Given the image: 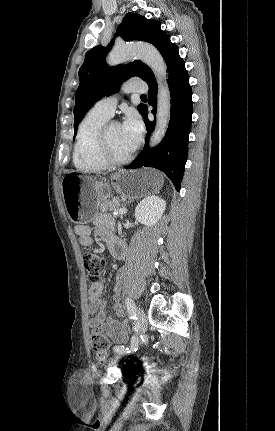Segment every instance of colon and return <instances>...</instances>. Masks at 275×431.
I'll return each mask as SVG.
<instances>
[{"instance_id":"obj_1","label":"colon","mask_w":275,"mask_h":431,"mask_svg":"<svg viewBox=\"0 0 275 431\" xmlns=\"http://www.w3.org/2000/svg\"><path fill=\"white\" fill-rule=\"evenodd\" d=\"M83 264L88 279L92 283L99 282L105 268V259L103 255L99 252H86L83 255ZM90 343L97 358L104 361L109 347V341L105 333L99 328H92L90 331Z\"/></svg>"}]
</instances>
